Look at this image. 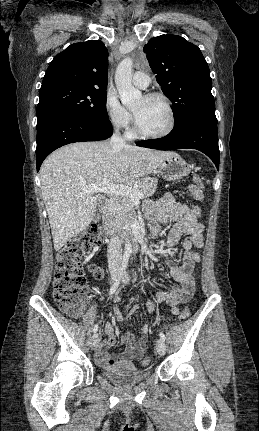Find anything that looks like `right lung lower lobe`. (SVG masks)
<instances>
[{"label":"right lung lower lobe","instance_id":"right-lung-lower-lobe-1","mask_svg":"<svg viewBox=\"0 0 259 431\" xmlns=\"http://www.w3.org/2000/svg\"><path fill=\"white\" fill-rule=\"evenodd\" d=\"M37 171L43 160L57 148L83 141L109 138L112 125L109 120H96L71 113H57L37 122Z\"/></svg>","mask_w":259,"mask_h":431}]
</instances>
